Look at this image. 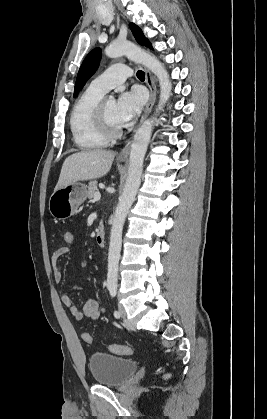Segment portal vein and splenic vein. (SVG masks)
Listing matches in <instances>:
<instances>
[{
  "instance_id": "1",
  "label": "portal vein and splenic vein",
  "mask_w": 267,
  "mask_h": 419,
  "mask_svg": "<svg viewBox=\"0 0 267 419\" xmlns=\"http://www.w3.org/2000/svg\"><path fill=\"white\" fill-rule=\"evenodd\" d=\"M100 198H101V194L99 192H96L94 194V200H100Z\"/></svg>"
}]
</instances>
